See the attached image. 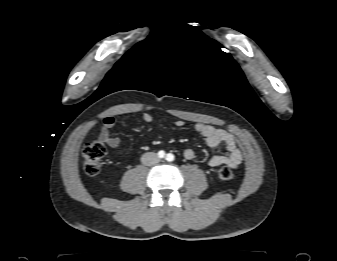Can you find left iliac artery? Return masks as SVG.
<instances>
[{"label": "left iliac artery", "instance_id": "44dca946", "mask_svg": "<svg viewBox=\"0 0 337 261\" xmlns=\"http://www.w3.org/2000/svg\"><path fill=\"white\" fill-rule=\"evenodd\" d=\"M174 159H175V157H174L173 154H171V153L167 154V156H166L167 161H173Z\"/></svg>", "mask_w": 337, "mask_h": 261}]
</instances>
